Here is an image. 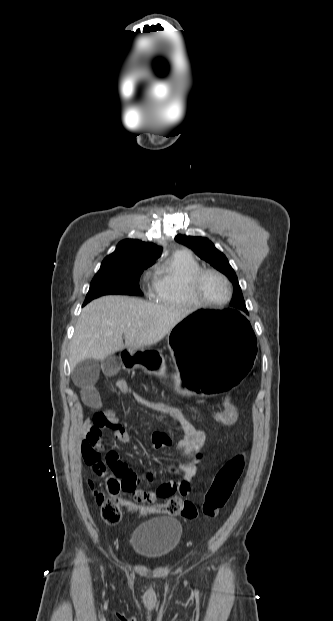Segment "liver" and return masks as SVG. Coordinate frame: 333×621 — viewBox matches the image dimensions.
<instances>
[{
  "instance_id": "6515ba94",
  "label": "liver",
  "mask_w": 333,
  "mask_h": 621,
  "mask_svg": "<svg viewBox=\"0 0 333 621\" xmlns=\"http://www.w3.org/2000/svg\"><path fill=\"white\" fill-rule=\"evenodd\" d=\"M188 310L126 296H105L85 306L75 326L69 363L103 360L125 347L140 349L162 340ZM125 344L123 343V337Z\"/></svg>"
}]
</instances>
